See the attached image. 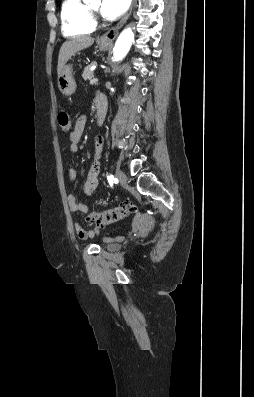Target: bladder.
<instances>
[{
	"label": "bladder",
	"instance_id": "1",
	"mask_svg": "<svg viewBox=\"0 0 254 397\" xmlns=\"http://www.w3.org/2000/svg\"><path fill=\"white\" fill-rule=\"evenodd\" d=\"M105 248H106L107 250H109V251H116V250L119 249V245L116 244V243H107V244L105 245Z\"/></svg>",
	"mask_w": 254,
	"mask_h": 397
}]
</instances>
